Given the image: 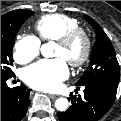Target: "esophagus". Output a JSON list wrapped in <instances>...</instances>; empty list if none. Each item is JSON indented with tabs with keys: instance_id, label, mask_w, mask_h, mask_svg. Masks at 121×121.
<instances>
[{
	"instance_id": "esophagus-1",
	"label": "esophagus",
	"mask_w": 121,
	"mask_h": 121,
	"mask_svg": "<svg viewBox=\"0 0 121 121\" xmlns=\"http://www.w3.org/2000/svg\"><path fill=\"white\" fill-rule=\"evenodd\" d=\"M49 97H50L51 99H56V98H58L57 95H49Z\"/></svg>"
}]
</instances>
